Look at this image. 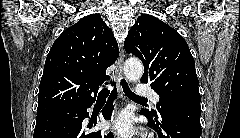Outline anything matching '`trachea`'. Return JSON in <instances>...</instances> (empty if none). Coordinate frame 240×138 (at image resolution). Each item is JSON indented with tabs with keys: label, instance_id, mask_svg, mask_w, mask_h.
<instances>
[{
	"label": "trachea",
	"instance_id": "obj_1",
	"mask_svg": "<svg viewBox=\"0 0 240 138\" xmlns=\"http://www.w3.org/2000/svg\"><path fill=\"white\" fill-rule=\"evenodd\" d=\"M121 85L123 88V91L127 97H129L132 100H139V101H146L147 99L140 97L136 95L132 90L129 88L128 84L124 79L121 80ZM109 90L107 88H103L98 95V98H106L109 95Z\"/></svg>",
	"mask_w": 240,
	"mask_h": 138
}]
</instances>
